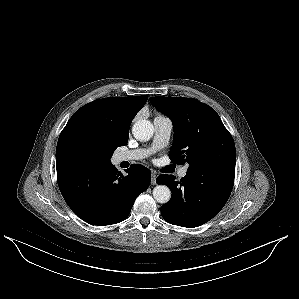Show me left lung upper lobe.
I'll list each match as a JSON object with an SVG mask.
<instances>
[{
  "instance_id": "5c2ea615",
  "label": "left lung upper lobe",
  "mask_w": 299,
  "mask_h": 299,
  "mask_svg": "<svg viewBox=\"0 0 299 299\" xmlns=\"http://www.w3.org/2000/svg\"><path fill=\"white\" fill-rule=\"evenodd\" d=\"M150 102L172 120V162L187 163L188 170L205 164L235 165L233 138L210 106L184 97H150Z\"/></svg>"
}]
</instances>
